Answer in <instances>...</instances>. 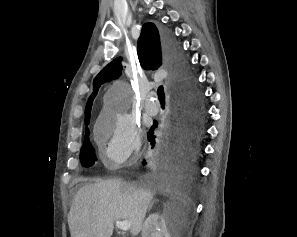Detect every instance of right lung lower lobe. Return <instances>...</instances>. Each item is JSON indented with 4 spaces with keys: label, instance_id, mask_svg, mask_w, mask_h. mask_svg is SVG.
Returning <instances> with one entry per match:
<instances>
[{
    "label": "right lung lower lobe",
    "instance_id": "obj_1",
    "mask_svg": "<svg viewBox=\"0 0 297 237\" xmlns=\"http://www.w3.org/2000/svg\"><path fill=\"white\" fill-rule=\"evenodd\" d=\"M167 65L175 78V110L173 129L165 140L160 153L150 160L154 173L150 177L165 178L173 175L198 172L196 163L199 152L197 135L200 132L201 102L200 97L189 82L187 69L177 42L168 31L162 32ZM148 132V140L155 145L153 130ZM146 164L145 160L143 161Z\"/></svg>",
    "mask_w": 297,
    "mask_h": 237
}]
</instances>
